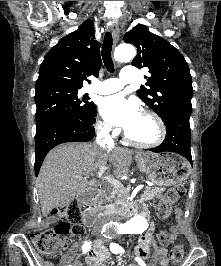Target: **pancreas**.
<instances>
[{
	"mask_svg": "<svg viewBox=\"0 0 221 266\" xmlns=\"http://www.w3.org/2000/svg\"><path fill=\"white\" fill-rule=\"evenodd\" d=\"M166 190L165 187H146V190L141 195L143 201L152 200L158 194ZM127 199V192L124 189L116 187L107 188L103 191L101 196L96 200L98 208L109 211L116 207L118 204L123 203ZM105 204V205H103Z\"/></svg>",
	"mask_w": 221,
	"mask_h": 266,
	"instance_id": "obj_1",
	"label": "pancreas"
}]
</instances>
